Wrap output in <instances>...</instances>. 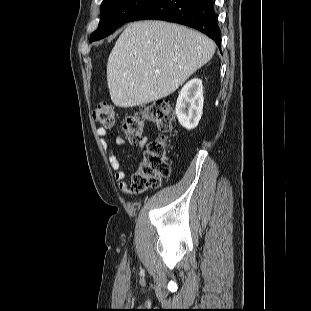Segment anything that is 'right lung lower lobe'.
Wrapping results in <instances>:
<instances>
[{"label": "right lung lower lobe", "mask_w": 311, "mask_h": 311, "mask_svg": "<svg viewBox=\"0 0 311 311\" xmlns=\"http://www.w3.org/2000/svg\"><path fill=\"white\" fill-rule=\"evenodd\" d=\"M146 19L174 22L197 29L221 48V32L211 0H153L127 22Z\"/></svg>", "instance_id": "right-lung-lower-lobe-1"}]
</instances>
